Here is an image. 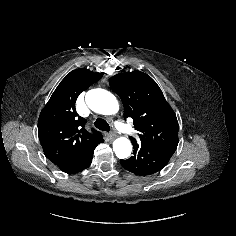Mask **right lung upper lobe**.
Listing matches in <instances>:
<instances>
[{"mask_svg":"<svg viewBox=\"0 0 236 236\" xmlns=\"http://www.w3.org/2000/svg\"><path fill=\"white\" fill-rule=\"evenodd\" d=\"M102 77L87 69L71 71L58 85L38 119V136L44 154L54 164L102 143L100 132L85 129L86 120L75 109L79 94Z\"/></svg>","mask_w":236,"mask_h":236,"instance_id":"right-lung-upper-lobe-1","label":"right lung upper lobe"}]
</instances>
